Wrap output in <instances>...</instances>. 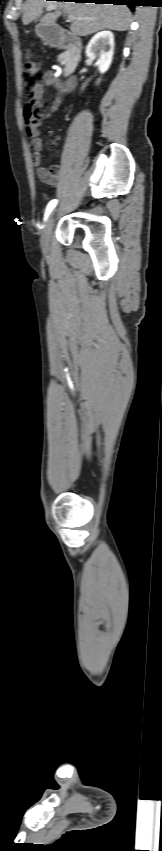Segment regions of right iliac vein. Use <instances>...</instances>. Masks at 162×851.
<instances>
[{
	"instance_id": "63e3f726",
	"label": "right iliac vein",
	"mask_w": 162,
	"mask_h": 851,
	"mask_svg": "<svg viewBox=\"0 0 162 851\" xmlns=\"http://www.w3.org/2000/svg\"><path fill=\"white\" fill-rule=\"evenodd\" d=\"M57 211H58V209L53 210L48 221L44 225V228H43V231H42L41 247H42L44 252H47L48 249H49L50 237H51V233H52L53 226H54V223H55V215H56Z\"/></svg>"
}]
</instances>
